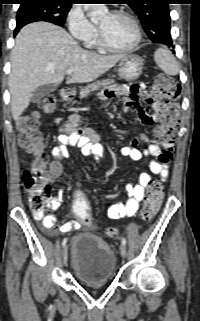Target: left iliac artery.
Wrapping results in <instances>:
<instances>
[{
  "mask_svg": "<svg viewBox=\"0 0 200 321\" xmlns=\"http://www.w3.org/2000/svg\"><path fill=\"white\" fill-rule=\"evenodd\" d=\"M122 244L126 245V239L125 238L122 239Z\"/></svg>",
  "mask_w": 200,
  "mask_h": 321,
  "instance_id": "1",
  "label": "left iliac artery"
}]
</instances>
